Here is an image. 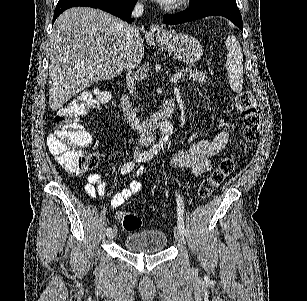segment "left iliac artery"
<instances>
[{"label":"left iliac artery","mask_w":307,"mask_h":301,"mask_svg":"<svg viewBox=\"0 0 307 301\" xmlns=\"http://www.w3.org/2000/svg\"><path fill=\"white\" fill-rule=\"evenodd\" d=\"M143 169H144V166H141L138 169L137 173L138 174H142L143 173ZM176 201H177V213H178L177 223H178L179 229L184 234L186 232V230H185L184 220H183V212H184L183 200H182L181 196L177 192H176Z\"/></svg>","instance_id":"44dca946"}]
</instances>
